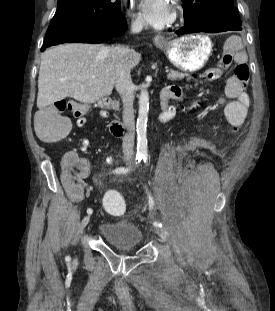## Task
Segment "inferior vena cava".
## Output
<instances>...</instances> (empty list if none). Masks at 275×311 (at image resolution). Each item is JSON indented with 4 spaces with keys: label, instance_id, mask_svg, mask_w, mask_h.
<instances>
[{
    "label": "inferior vena cava",
    "instance_id": "602c4592",
    "mask_svg": "<svg viewBox=\"0 0 275 311\" xmlns=\"http://www.w3.org/2000/svg\"><path fill=\"white\" fill-rule=\"evenodd\" d=\"M142 21H135L132 24L131 31L138 33L142 30ZM131 50L125 46H116L111 50V57L115 66L116 82L115 88L120 94L123 103V124L127 129L123 137L122 149L125 159L133 158L135 121H134V89L131 80V67L129 64V55Z\"/></svg>",
    "mask_w": 275,
    "mask_h": 311
}]
</instances>
